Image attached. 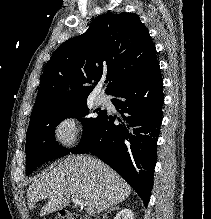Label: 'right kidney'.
Returning <instances> with one entry per match:
<instances>
[{
	"label": "right kidney",
	"instance_id": "right-kidney-1",
	"mask_svg": "<svg viewBox=\"0 0 211 219\" xmlns=\"http://www.w3.org/2000/svg\"><path fill=\"white\" fill-rule=\"evenodd\" d=\"M114 219H134V214L130 209L124 208L117 213Z\"/></svg>",
	"mask_w": 211,
	"mask_h": 219
}]
</instances>
